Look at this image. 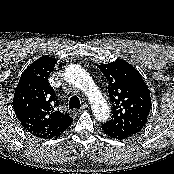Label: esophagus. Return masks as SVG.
I'll return each mask as SVG.
<instances>
[{
    "instance_id": "obj_1",
    "label": "esophagus",
    "mask_w": 174,
    "mask_h": 174,
    "mask_svg": "<svg viewBox=\"0 0 174 174\" xmlns=\"http://www.w3.org/2000/svg\"><path fill=\"white\" fill-rule=\"evenodd\" d=\"M87 108H88V104L87 103H84L80 110L83 111V110H85Z\"/></svg>"
}]
</instances>
